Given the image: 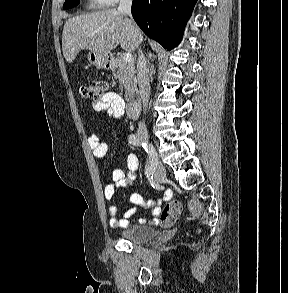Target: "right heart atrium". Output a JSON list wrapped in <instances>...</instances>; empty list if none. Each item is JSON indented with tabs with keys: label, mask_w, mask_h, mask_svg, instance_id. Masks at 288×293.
Masks as SVG:
<instances>
[{
	"label": "right heart atrium",
	"mask_w": 288,
	"mask_h": 293,
	"mask_svg": "<svg viewBox=\"0 0 288 293\" xmlns=\"http://www.w3.org/2000/svg\"><path fill=\"white\" fill-rule=\"evenodd\" d=\"M107 5H113L119 2L120 0H104Z\"/></svg>",
	"instance_id": "1"
}]
</instances>
